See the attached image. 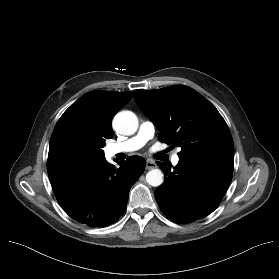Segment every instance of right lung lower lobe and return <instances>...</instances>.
<instances>
[{"label": "right lung lower lobe", "instance_id": "obj_1", "mask_svg": "<svg viewBox=\"0 0 279 279\" xmlns=\"http://www.w3.org/2000/svg\"><path fill=\"white\" fill-rule=\"evenodd\" d=\"M116 168L105 157L95 162L49 173L55 196L74 220L90 227L115 223L126 210L129 190L144 172L140 156L119 162Z\"/></svg>", "mask_w": 279, "mask_h": 279}]
</instances>
